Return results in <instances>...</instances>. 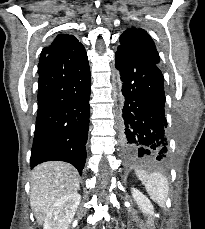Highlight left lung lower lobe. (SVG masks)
Segmentation results:
<instances>
[{"label":"left lung lower lobe","mask_w":205,"mask_h":229,"mask_svg":"<svg viewBox=\"0 0 205 229\" xmlns=\"http://www.w3.org/2000/svg\"><path fill=\"white\" fill-rule=\"evenodd\" d=\"M115 67L120 71L124 106L122 147L129 157L148 156L156 162L168 157L164 77L158 64L118 46Z\"/></svg>","instance_id":"0a47b994"}]
</instances>
